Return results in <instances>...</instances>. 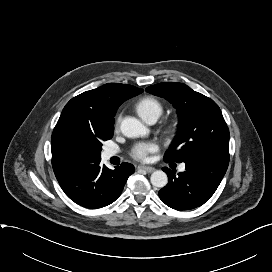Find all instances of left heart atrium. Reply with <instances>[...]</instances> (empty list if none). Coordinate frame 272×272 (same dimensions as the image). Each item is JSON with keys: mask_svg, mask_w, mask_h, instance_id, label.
Here are the masks:
<instances>
[{"mask_svg": "<svg viewBox=\"0 0 272 272\" xmlns=\"http://www.w3.org/2000/svg\"><path fill=\"white\" fill-rule=\"evenodd\" d=\"M158 150V145L155 142H140L132 149V156L141 161H146L151 153Z\"/></svg>", "mask_w": 272, "mask_h": 272, "instance_id": "obj_1", "label": "left heart atrium"}]
</instances>
